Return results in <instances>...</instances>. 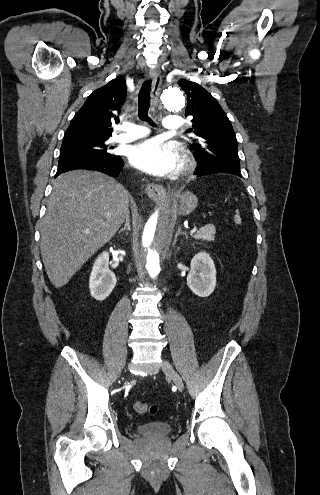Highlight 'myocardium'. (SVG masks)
<instances>
[{
    "instance_id": "f54148a6",
    "label": "myocardium",
    "mask_w": 320,
    "mask_h": 495,
    "mask_svg": "<svg viewBox=\"0 0 320 495\" xmlns=\"http://www.w3.org/2000/svg\"><path fill=\"white\" fill-rule=\"evenodd\" d=\"M179 157H180L179 171L182 173L187 172L192 166V161L190 160L188 154L183 150H179Z\"/></svg>"
}]
</instances>
